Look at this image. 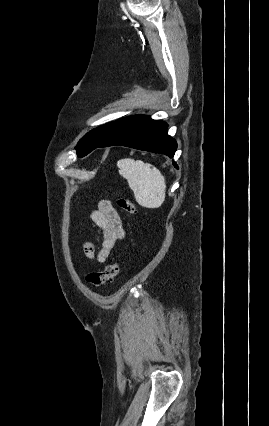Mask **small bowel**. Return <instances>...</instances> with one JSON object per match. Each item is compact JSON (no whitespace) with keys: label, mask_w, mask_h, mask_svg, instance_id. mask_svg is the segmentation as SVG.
<instances>
[{"label":"small bowel","mask_w":269,"mask_h":426,"mask_svg":"<svg viewBox=\"0 0 269 426\" xmlns=\"http://www.w3.org/2000/svg\"><path fill=\"white\" fill-rule=\"evenodd\" d=\"M94 225L101 231L100 248L97 253L92 243L84 245V254L88 259L99 263L105 262L117 244L125 237L121 217L110 201L101 200L96 209L91 212Z\"/></svg>","instance_id":"obj_1"}]
</instances>
